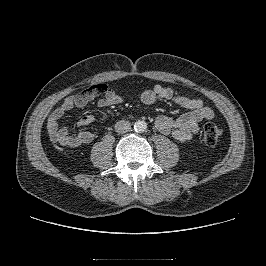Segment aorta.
I'll use <instances>...</instances> for the list:
<instances>
[{
  "label": "aorta",
  "mask_w": 266,
  "mask_h": 266,
  "mask_svg": "<svg viewBox=\"0 0 266 266\" xmlns=\"http://www.w3.org/2000/svg\"><path fill=\"white\" fill-rule=\"evenodd\" d=\"M147 129V123L143 120H138L134 123V130L138 133L144 132Z\"/></svg>",
  "instance_id": "obj_1"
}]
</instances>
